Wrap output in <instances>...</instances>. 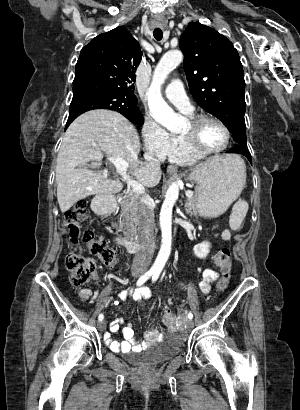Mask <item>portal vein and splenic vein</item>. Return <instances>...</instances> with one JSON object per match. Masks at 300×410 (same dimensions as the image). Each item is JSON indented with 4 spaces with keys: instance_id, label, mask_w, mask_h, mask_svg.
I'll return each instance as SVG.
<instances>
[{
    "instance_id": "portal-vein-and-splenic-vein-1",
    "label": "portal vein and splenic vein",
    "mask_w": 300,
    "mask_h": 410,
    "mask_svg": "<svg viewBox=\"0 0 300 410\" xmlns=\"http://www.w3.org/2000/svg\"><path fill=\"white\" fill-rule=\"evenodd\" d=\"M108 161L115 165L117 172L122 176L123 181L127 183V186L130 187L133 192H135L138 195L145 194V188L127 175L126 171L128 169V164L124 160L108 157ZM185 195L188 198H192L193 191L187 190L185 192Z\"/></svg>"
}]
</instances>
